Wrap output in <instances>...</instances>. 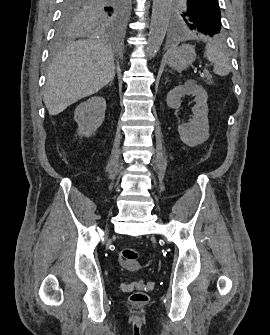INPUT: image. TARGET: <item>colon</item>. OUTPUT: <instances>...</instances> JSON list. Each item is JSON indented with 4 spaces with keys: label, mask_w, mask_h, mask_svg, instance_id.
I'll use <instances>...</instances> for the list:
<instances>
[{
    "label": "colon",
    "mask_w": 270,
    "mask_h": 335,
    "mask_svg": "<svg viewBox=\"0 0 270 335\" xmlns=\"http://www.w3.org/2000/svg\"><path fill=\"white\" fill-rule=\"evenodd\" d=\"M139 252L136 248H122L120 252V262L125 268H133L138 265ZM131 300L137 304H144L148 300V295L142 292H134L130 296Z\"/></svg>",
    "instance_id": "colon-1"
}]
</instances>
